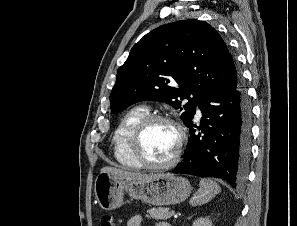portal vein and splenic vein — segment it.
I'll return each instance as SVG.
<instances>
[{"mask_svg": "<svg viewBox=\"0 0 297 226\" xmlns=\"http://www.w3.org/2000/svg\"><path fill=\"white\" fill-rule=\"evenodd\" d=\"M171 213H172V215H175V211L174 210H172Z\"/></svg>", "mask_w": 297, "mask_h": 226, "instance_id": "obj_1", "label": "portal vein and splenic vein"}]
</instances>
